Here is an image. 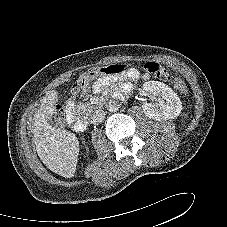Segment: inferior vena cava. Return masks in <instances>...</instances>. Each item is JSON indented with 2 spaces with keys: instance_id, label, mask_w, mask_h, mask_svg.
<instances>
[{
  "instance_id": "inferior-vena-cava-1",
  "label": "inferior vena cava",
  "mask_w": 227,
  "mask_h": 227,
  "mask_svg": "<svg viewBox=\"0 0 227 227\" xmlns=\"http://www.w3.org/2000/svg\"><path fill=\"white\" fill-rule=\"evenodd\" d=\"M104 118H105V112L101 109L95 110L90 116L91 122L93 124L101 123L104 120Z\"/></svg>"
}]
</instances>
